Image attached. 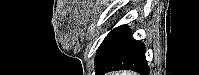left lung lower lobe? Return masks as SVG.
<instances>
[{
	"mask_svg": "<svg viewBox=\"0 0 199 75\" xmlns=\"http://www.w3.org/2000/svg\"><path fill=\"white\" fill-rule=\"evenodd\" d=\"M134 70L149 75L145 46L132 37L126 25L113 29L99 46L95 57L96 75L114 70Z\"/></svg>",
	"mask_w": 199,
	"mask_h": 75,
	"instance_id": "obj_1",
	"label": "left lung lower lobe"
}]
</instances>
